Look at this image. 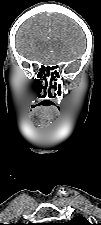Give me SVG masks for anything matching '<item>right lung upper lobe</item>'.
Returning a JSON list of instances; mask_svg holds the SVG:
<instances>
[{"mask_svg": "<svg viewBox=\"0 0 101 225\" xmlns=\"http://www.w3.org/2000/svg\"><path fill=\"white\" fill-rule=\"evenodd\" d=\"M15 225H24V224H15ZM29 225H33V224H29Z\"/></svg>", "mask_w": 101, "mask_h": 225, "instance_id": "obj_1", "label": "right lung upper lobe"}]
</instances>
